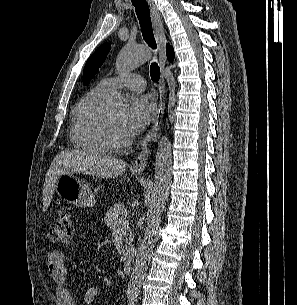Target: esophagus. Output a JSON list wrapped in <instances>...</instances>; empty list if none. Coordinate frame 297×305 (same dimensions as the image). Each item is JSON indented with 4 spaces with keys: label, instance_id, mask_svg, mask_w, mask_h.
Returning a JSON list of instances; mask_svg holds the SVG:
<instances>
[{
    "label": "esophagus",
    "instance_id": "obj_1",
    "mask_svg": "<svg viewBox=\"0 0 297 305\" xmlns=\"http://www.w3.org/2000/svg\"><path fill=\"white\" fill-rule=\"evenodd\" d=\"M151 17L153 21L155 38L159 51V65L162 71L161 79L159 82V100L158 107L155 115L154 122L146 134V137L142 143V149L138 157L135 159L133 167L137 171L145 170L152 150V144L157 139V134L160 129L162 118L165 109V77H164V68L167 63L166 57V36L163 30L162 20L160 14L153 2V0H147Z\"/></svg>",
    "mask_w": 297,
    "mask_h": 305
}]
</instances>
